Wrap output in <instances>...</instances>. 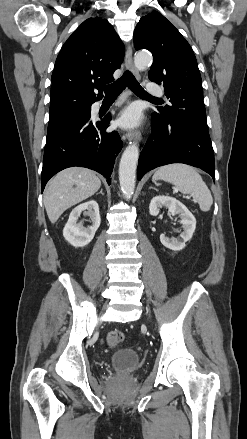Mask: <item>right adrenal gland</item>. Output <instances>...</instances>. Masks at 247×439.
Listing matches in <instances>:
<instances>
[{"instance_id":"1","label":"right adrenal gland","mask_w":247,"mask_h":439,"mask_svg":"<svg viewBox=\"0 0 247 439\" xmlns=\"http://www.w3.org/2000/svg\"><path fill=\"white\" fill-rule=\"evenodd\" d=\"M98 194H102V195H104V193H103V189H102V188H101L100 192L97 193L96 195H98Z\"/></svg>"}]
</instances>
